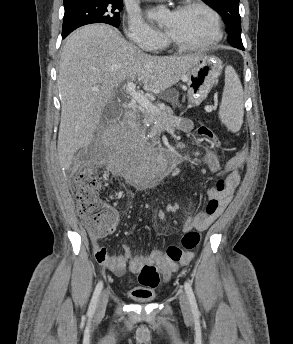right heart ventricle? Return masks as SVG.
Returning a JSON list of instances; mask_svg holds the SVG:
<instances>
[{
  "mask_svg": "<svg viewBox=\"0 0 293 344\" xmlns=\"http://www.w3.org/2000/svg\"><path fill=\"white\" fill-rule=\"evenodd\" d=\"M164 47V44H162L159 48H163Z\"/></svg>",
  "mask_w": 293,
  "mask_h": 344,
  "instance_id": "right-heart-ventricle-1",
  "label": "right heart ventricle"
}]
</instances>
